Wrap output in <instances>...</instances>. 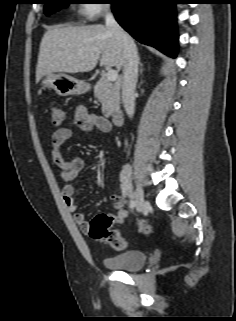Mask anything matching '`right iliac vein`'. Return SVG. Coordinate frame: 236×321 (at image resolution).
Here are the masks:
<instances>
[{
    "label": "right iliac vein",
    "mask_w": 236,
    "mask_h": 321,
    "mask_svg": "<svg viewBox=\"0 0 236 321\" xmlns=\"http://www.w3.org/2000/svg\"><path fill=\"white\" fill-rule=\"evenodd\" d=\"M133 197L135 200L137 211L142 212L148 205V202L145 200L144 193L140 184L137 185Z\"/></svg>",
    "instance_id": "63e3f726"
}]
</instances>
